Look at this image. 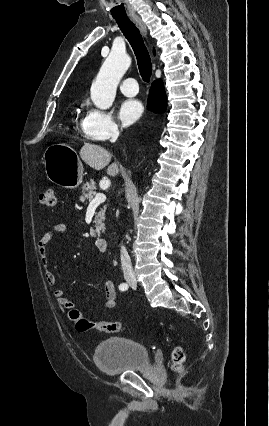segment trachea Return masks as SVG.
<instances>
[{
  "label": "trachea",
  "instance_id": "trachea-1",
  "mask_svg": "<svg viewBox=\"0 0 269 426\" xmlns=\"http://www.w3.org/2000/svg\"><path fill=\"white\" fill-rule=\"evenodd\" d=\"M115 20L135 53L142 79L149 82L152 75V64L139 29L127 17L115 18Z\"/></svg>",
  "mask_w": 269,
  "mask_h": 426
}]
</instances>
